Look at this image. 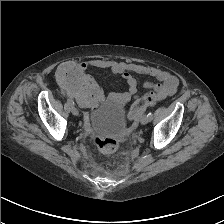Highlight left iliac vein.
Here are the masks:
<instances>
[{"label":"left iliac vein","instance_id":"obj_1","mask_svg":"<svg viewBox=\"0 0 224 224\" xmlns=\"http://www.w3.org/2000/svg\"><path fill=\"white\" fill-rule=\"evenodd\" d=\"M149 121H150V119H149L148 115H143L140 120L142 125L147 124Z\"/></svg>","mask_w":224,"mask_h":224}]
</instances>
